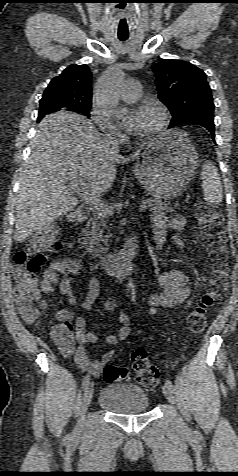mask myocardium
I'll list each match as a JSON object with an SVG mask.
<instances>
[{
	"instance_id": "f54148a6",
	"label": "myocardium",
	"mask_w": 238,
	"mask_h": 476,
	"mask_svg": "<svg viewBox=\"0 0 238 476\" xmlns=\"http://www.w3.org/2000/svg\"><path fill=\"white\" fill-rule=\"evenodd\" d=\"M141 107H151L159 113L160 118L158 124L145 135L146 139H151L161 133L168 125L169 112L163 104L156 101H144L141 103Z\"/></svg>"
}]
</instances>
